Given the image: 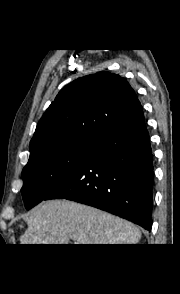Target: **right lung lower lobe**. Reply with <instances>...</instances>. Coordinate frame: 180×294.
<instances>
[{
    "mask_svg": "<svg viewBox=\"0 0 180 294\" xmlns=\"http://www.w3.org/2000/svg\"><path fill=\"white\" fill-rule=\"evenodd\" d=\"M153 160L142 107L96 143L74 173L47 199L105 210L150 231Z\"/></svg>",
    "mask_w": 180,
    "mask_h": 294,
    "instance_id": "1",
    "label": "right lung lower lobe"
}]
</instances>
